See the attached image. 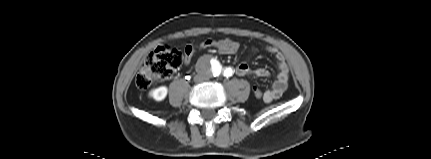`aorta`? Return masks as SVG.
I'll list each match as a JSON object with an SVG mask.
<instances>
[{"label":"aorta","instance_id":"762f6f07","mask_svg":"<svg viewBox=\"0 0 431 159\" xmlns=\"http://www.w3.org/2000/svg\"><path fill=\"white\" fill-rule=\"evenodd\" d=\"M207 71L210 75L218 76L221 72L220 66L208 67Z\"/></svg>","mask_w":431,"mask_h":159}]
</instances>
